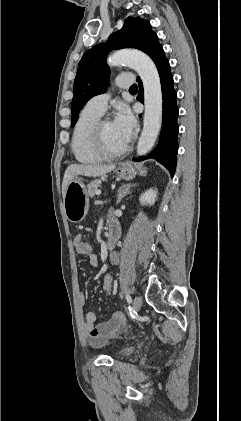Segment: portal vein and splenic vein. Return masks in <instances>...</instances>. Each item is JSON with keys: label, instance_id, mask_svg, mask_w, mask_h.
<instances>
[{"label": "portal vein and splenic vein", "instance_id": "obj_1", "mask_svg": "<svg viewBox=\"0 0 241 421\" xmlns=\"http://www.w3.org/2000/svg\"><path fill=\"white\" fill-rule=\"evenodd\" d=\"M100 194H101V191H100V190H97V191H96V195H98V196H99Z\"/></svg>", "mask_w": 241, "mask_h": 421}]
</instances>
